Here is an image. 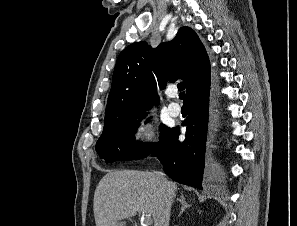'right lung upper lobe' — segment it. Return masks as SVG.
<instances>
[{"label": "right lung upper lobe", "instance_id": "cb5924a9", "mask_svg": "<svg viewBox=\"0 0 297 226\" xmlns=\"http://www.w3.org/2000/svg\"><path fill=\"white\" fill-rule=\"evenodd\" d=\"M185 80L187 99L210 85V61L198 35L189 27L179 29L175 38L153 49L146 42L126 47L118 56L106 113L122 115L150 109L156 103L157 83Z\"/></svg>", "mask_w": 297, "mask_h": 226}]
</instances>
